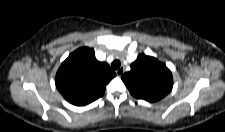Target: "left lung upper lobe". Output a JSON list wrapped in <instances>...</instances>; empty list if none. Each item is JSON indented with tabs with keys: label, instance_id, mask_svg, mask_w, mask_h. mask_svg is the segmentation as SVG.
I'll use <instances>...</instances> for the list:
<instances>
[{
	"label": "left lung upper lobe",
	"instance_id": "obj_1",
	"mask_svg": "<svg viewBox=\"0 0 225 132\" xmlns=\"http://www.w3.org/2000/svg\"><path fill=\"white\" fill-rule=\"evenodd\" d=\"M130 93L138 99L155 102L173 87L171 71L154 57L139 54L131 70L121 77Z\"/></svg>",
	"mask_w": 225,
	"mask_h": 132
}]
</instances>
